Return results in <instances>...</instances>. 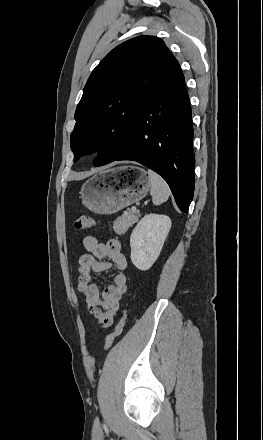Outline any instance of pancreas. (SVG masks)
<instances>
[{"instance_id":"pancreas-1","label":"pancreas","mask_w":263,"mask_h":440,"mask_svg":"<svg viewBox=\"0 0 263 440\" xmlns=\"http://www.w3.org/2000/svg\"><path fill=\"white\" fill-rule=\"evenodd\" d=\"M140 214L138 212H126L113 222V229L118 235L125 234L127 230L138 221Z\"/></svg>"}]
</instances>
